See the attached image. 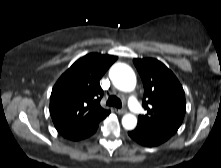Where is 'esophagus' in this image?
Here are the masks:
<instances>
[{"label":"esophagus","instance_id":"esophagus-1","mask_svg":"<svg viewBox=\"0 0 221 168\" xmlns=\"http://www.w3.org/2000/svg\"><path fill=\"white\" fill-rule=\"evenodd\" d=\"M116 113L118 114H125L127 112L126 109H115Z\"/></svg>","mask_w":221,"mask_h":168}]
</instances>
